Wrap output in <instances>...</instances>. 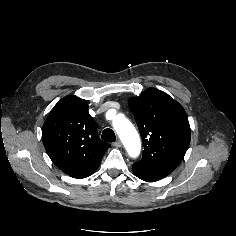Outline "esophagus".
<instances>
[{
	"label": "esophagus",
	"instance_id": "34e87169",
	"mask_svg": "<svg viewBox=\"0 0 236 236\" xmlns=\"http://www.w3.org/2000/svg\"><path fill=\"white\" fill-rule=\"evenodd\" d=\"M113 146L116 148H120L122 146V143L120 140H117L116 142L113 143Z\"/></svg>",
	"mask_w": 236,
	"mask_h": 236
}]
</instances>
